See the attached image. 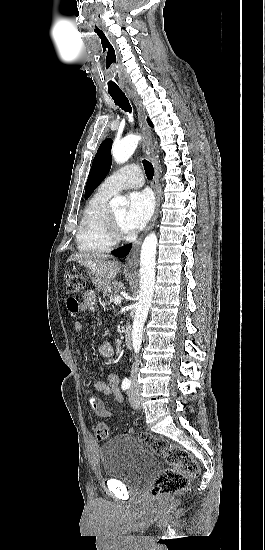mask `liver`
Here are the masks:
<instances>
[{
    "label": "liver",
    "mask_w": 265,
    "mask_h": 550,
    "mask_svg": "<svg viewBox=\"0 0 265 550\" xmlns=\"http://www.w3.org/2000/svg\"><path fill=\"white\" fill-rule=\"evenodd\" d=\"M67 261L78 262L87 267L100 281L107 283H111L120 270V263L105 254H74Z\"/></svg>",
    "instance_id": "1"
}]
</instances>
